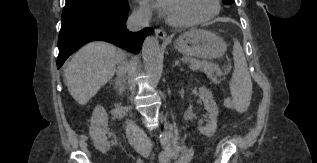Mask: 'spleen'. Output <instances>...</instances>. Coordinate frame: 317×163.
<instances>
[{
    "label": "spleen",
    "mask_w": 317,
    "mask_h": 163,
    "mask_svg": "<svg viewBox=\"0 0 317 163\" xmlns=\"http://www.w3.org/2000/svg\"><path fill=\"white\" fill-rule=\"evenodd\" d=\"M233 57L234 71L230 81L233 107L238 112H244L250 104L252 81L248 71L244 51L241 44L236 39H234Z\"/></svg>",
    "instance_id": "obj_1"
}]
</instances>
